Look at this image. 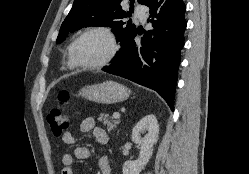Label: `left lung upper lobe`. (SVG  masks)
Instances as JSON below:
<instances>
[{"instance_id":"obj_1","label":"left lung upper lobe","mask_w":249,"mask_h":174,"mask_svg":"<svg viewBox=\"0 0 249 174\" xmlns=\"http://www.w3.org/2000/svg\"><path fill=\"white\" fill-rule=\"evenodd\" d=\"M121 1L122 0H74L72 9L61 25L57 43H61L69 33L83 27L110 26L116 33V40L120 42L123 47L128 40L135 36L137 28L134 24L129 22L126 24L121 21L122 18L130 16V12L122 10L120 6ZM148 1L149 0H138V3L146 5ZM130 2V9H132L134 0H130Z\"/></svg>"}]
</instances>
